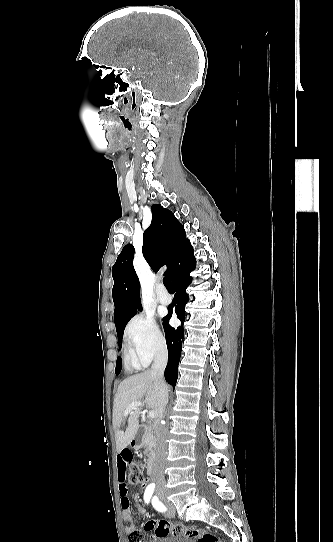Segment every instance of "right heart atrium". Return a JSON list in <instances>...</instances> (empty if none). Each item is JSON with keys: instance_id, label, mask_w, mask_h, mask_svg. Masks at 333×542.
<instances>
[{"instance_id": "right-heart-atrium-1", "label": "right heart atrium", "mask_w": 333, "mask_h": 542, "mask_svg": "<svg viewBox=\"0 0 333 542\" xmlns=\"http://www.w3.org/2000/svg\"><path fill=\"white\" fill-rule=\"evenodd\" d=\"M126 345L139 348L145 356L153 358L166 348V337L155 317L147 313L137 314L124 331Z\"/></svg>"}]
</instances>
